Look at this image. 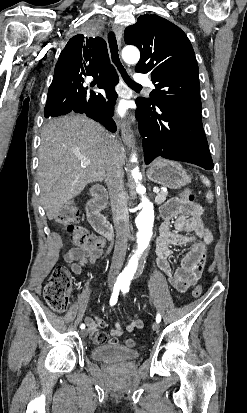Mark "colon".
I'll list each match as a JSON object with an SVG mask.
<instances>
[{
	"mask_svg": "<svg viewBox=\"0 0 247 413\" xmlns=\"http://www.w3.org/2000/svg\"><path fill=\"white\" fill-rule=\"evenodd\" d=\"M185 207H192L194 200L192 196L185 193L179 198ZM79 218V208L76 203H69L65 205L58 213L56 221L60 228L67 234L71 235L74 243L88 244L93 240V237L84 229L75 230L72 223ZM72 276L69 267L58 266L50 276L46 279L43 296L48 306L55 312H63L69 306L70 295L72 291ZM202 293L201 285L195 287L193 290V297L198 298ZM124 345L133 347L135 341L133 339H125Z\"/></svg>",
	"mask_w": 247,
	"mask_h": 413,
	"instance_id": "5ec220e1",
	"label": "colon"
}]
</instances>
